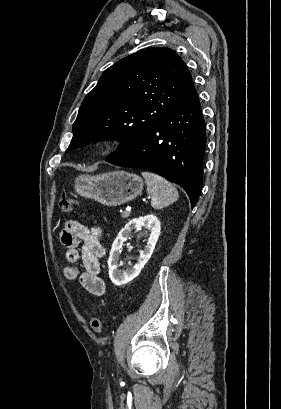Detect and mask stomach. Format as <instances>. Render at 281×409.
Returning <instances> with one entry per match:
<instances>
[{"label": "stomach", "mask_w": 281, "mask_h": 409, "mask_svg": "<svg viewBox=\"0 0 281 409\" xmlns=\"http://www.w3.org/2000/svg\"><path fill=\"white\" fill-rule=\"evenodd\" d=\"M144 182L138 174L125 170H112L103 174H79L74 180V188L80 196L94 198L102 205L118 207L142 194Z\"/></svg>", "instance_id": "0dacf381"}]
</instances>
